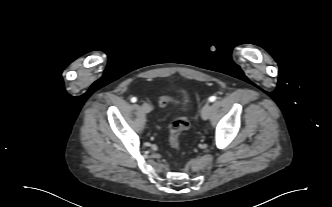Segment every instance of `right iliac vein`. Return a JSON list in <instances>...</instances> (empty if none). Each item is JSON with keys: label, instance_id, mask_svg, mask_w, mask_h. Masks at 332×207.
I'll return each instance as SVG.
<instances>
[{"label": "right iliac vein", "instance_id": "63e3f726", "mask_svg": "<svg viewBox=\"0 0 332 207\" xmlns=\"http://www.w3.org/2000/svg\"><path fill=\"white\" fill-rule=\"evenodd\" d=\"M142 109L145 113H149L151 111V106L148 103H144Z\"/></svg>", "mask_w": 332, "mask_h": 207}]
</instances>
